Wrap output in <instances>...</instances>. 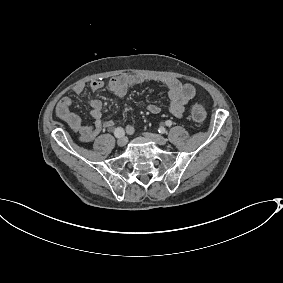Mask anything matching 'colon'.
Returning <instances> with one entry per match:
<instances>
[{
	"instance_id": "1",
	"label": "colon",
	"mask_w": 283,
	"mask_h": 283,
	"mask_svg": "<svg viewBox=\"0 0 283 283\" xmlns=\"http://www.w3.org/2000/svg\"><path fill=\"white\" fill-rule=\"evenodd\" d=\"M206 109L201 104H195L191 108V117L195 121H202L206 117Z\"/></svg>"
}]
</instances>
